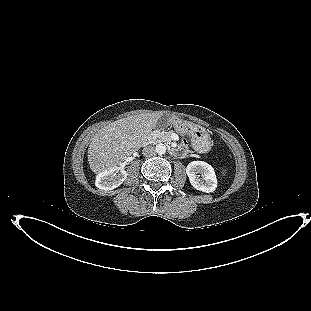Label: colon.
<instances>
[{
    "label": "colon",
    "mask_w": 311,
    "mask_h": 311,
    "mask_svg": "<svg viewBox=\"0 0 311 311\" xmlns=\"http://www.w3.org/2000/svg\"><path fill=\"white\" fill-rule=\"evenodd\" d=\"M222 174H223V175H226V174H227V171H226L225 169H223V170H222Z\"/></svg>",
    "instance_id": "obj_1"
}]
</instances>
